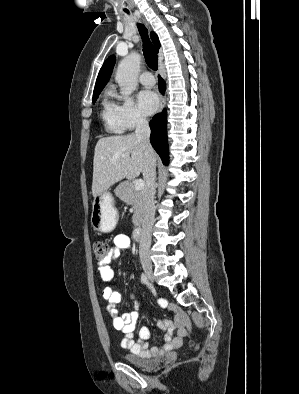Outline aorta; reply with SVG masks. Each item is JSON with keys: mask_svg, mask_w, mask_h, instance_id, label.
Masks as SVG:
<instances>
[{"mask_svg": "<svg viewBox=\"0 0 299 394\" xmlns=\"http://www.w3.org/2000/svg\"><path fill=\"white\" fill-rule=\"evenodd\" d=\"M141 57L132 53L125 57L119 64L115 80L123 95H131L138 85V74L140 71Z\"/></svg>", "mask_w": 299, "mask_h": 394, "instance_id": "762f6f07", "label": "aorta"}]
</instances>
